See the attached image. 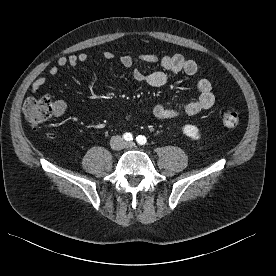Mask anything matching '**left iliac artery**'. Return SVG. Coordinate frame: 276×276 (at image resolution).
<instances>
[{
	"instance_id": "left-iliac-artery-1",
	"label": "left iliac artery",
	"mask_w": 276,
	"mask_h": 276,
	"mask_svg": "<svg viewBox=\"0 0 276 276\" xmlns=\"http://www.w3.org/2000/svg\"><path fill=\"white\" fill-rule=\"evenodd\" d=\"M136 141H137L138 144L144 145L147 142V139H146L145 136L139 135V136L136 137Z\"/></svg>"
}]
</instances>
